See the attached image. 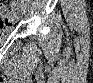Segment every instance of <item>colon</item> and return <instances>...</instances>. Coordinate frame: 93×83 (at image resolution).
<instances>
[{
	"label": "colon",
	"instance_id": "obj_1",
	"mask_svg": "<svg viewBox=\"0 0 93 83\" xmlns=\"http://www.w3.org/2000/svg\"><path fill=\"white\" fill-rule=\"evenodd\" d=\"M14 4V1H4L1 5V22L4 24L6 22H10L14 20V13L17 12L16 9L11 8Z\"/></svg>",
	"mask_w": 93,
	"mask_h": 83
}]
</instances>
